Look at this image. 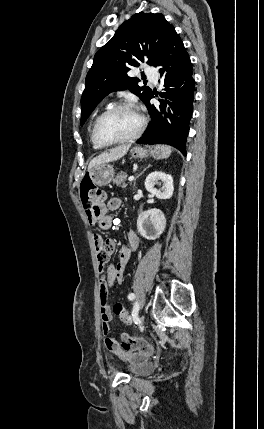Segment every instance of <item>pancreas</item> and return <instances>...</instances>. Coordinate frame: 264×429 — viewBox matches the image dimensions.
I'll list each match as a JSON object with an SVG mask.
<instances>
[{"label": "pancreas", "instance_id": "cf45deb5", "mask_svg": "<svg viewBox=\"0 0 264 429\" xmlns=\"http://www.w3.org/2000/svg\"><path fill=\"white\" fill-rule=\"evenodd\" d=\"M126 180H127V174L125 172H121L117 174V176L113 179V184H116L119 187L125 188L127 186Z\"/></svg>", "mask_w": 264, "mask_h": 429}]
</instances>
